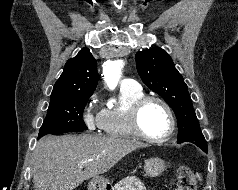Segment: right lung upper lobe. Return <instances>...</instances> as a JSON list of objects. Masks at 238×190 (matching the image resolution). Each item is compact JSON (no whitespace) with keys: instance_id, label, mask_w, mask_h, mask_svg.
Masks as SVG:
<instances>
[{"instance_id":"1","label":"right lung upper lobe","mask_w":238,"mask_h":190,"mask_svg":"<svg viewBox=\"0 0 238 190\" xmlns=\"http://www.w3.org/2000/svg\"><path fill=\"white\" fill-rule=\"evenodd\" d=\"M97 62L88 48H83L69 59L58 81L55 83L51 100L76 95L92 94L97 86Z\"/></svg>"}]
</instances>
